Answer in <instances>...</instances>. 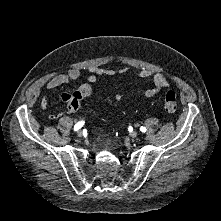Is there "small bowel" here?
Instances as JSON below:
<instances>
[{"label": "small bowel", "instance_id": "1", "mask_svg": "<svg viewBox=\"0 0 221 221\" xmlns=\"http://www.w3.org/2000/svg\"><path fill=\"white\" fill-rule=\"evenodd\" d=\"M130 71L129 67H122L118 69H111V68H99L97 66H92L89 68L90 75L87 78L88 84L81 85L78 89L74 90L73 92H63L58 95L60 101L66 103L68 109L70 111H74L75 107L72 104V100L74 98L75 93L82 87V86H90V84L96 83L101 77H117L120 75H124ZM81 75L79 69L72 68L69 69L67 72L58 74L52 78H50L46 82V89L47 90H54L58 87L66 85L70 82L77 80ZM137 76L140 79H149L154 83V88L145 89L143 90V95L147 98L153 97L157 95L161 89L167 87L169 85L167 78L161 74L156 73L150 69H142L138 71ZM85 98V97H84ZM83 98V99H84ZM123 96L121 94H117L115 96L116 101H121ZM40 106L42 109H47L49 107V101L46 98H43L40 102ZM61 116L59 112L50 113L48 118L50 120H55Z\"/></svg>", "mask_w": 221, "mask_h": 221}]
</instances>
